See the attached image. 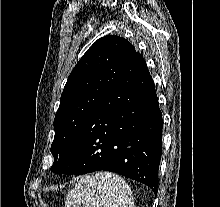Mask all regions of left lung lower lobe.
Here are the masks:
<instances>
[{
	"mask_svg": "<svg viewBox=\"0 0 220 207\" xmlns=\"http://www.w3.org/2000/svg\"><path fill=\"white\" fill-rule=\"evenodd\" d=\"M162 127L154 82L137 52L51 171L116 172L157 194Z\"/></svg>",
	"mask_w": 220,
	"mask_h": 207,
	"instance_id": "1",
	"label": "left lung lower lobe"
}]
</instances>
